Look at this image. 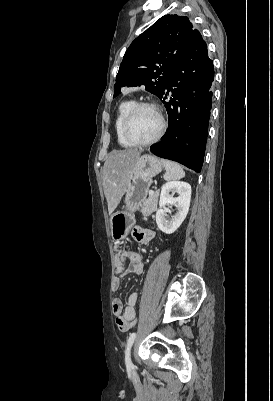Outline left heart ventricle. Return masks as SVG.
Here are the masks:
<instances>
[{
  "mask_svg": "<svg viewBox=\"0 0 273 401\" xmlns=\"http://www.w3.org/2000/svg\"><path fill=\"white\" fill-rule=\"evenodd\" d=\"M160 128V117L154 111L143 108L134 115L128 133L135 140L146 141L156 136Z\"/></svg>",
  "mask_w": 273,
  "mask_h": 401,
  "instance_id": "1",
  "label": "left heart ventricle"
}]
</instances>
